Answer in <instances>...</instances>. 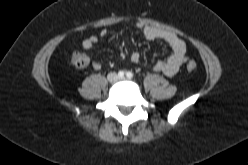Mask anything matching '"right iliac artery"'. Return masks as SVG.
Segmentation results:
<instances>
[{
  "instance_id": "82829eb1",
  "label": "right iliac artery",
  "mask_w": 248,
  "mask_h": 165,
  "mask_svg": "<svg viewBox=\"0 0 248 165\" xmlns=\"http://www.w3.org/2000/svg\"><path fill=\"white\" fill-rule=\"evenodd\" d=\"M118 76H119V77H124V72H123V71H119V72H118Z\"/></svg>"
}]
</instances>
